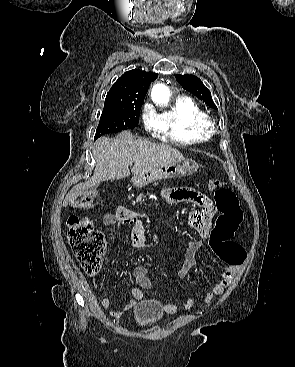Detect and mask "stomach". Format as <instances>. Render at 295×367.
Segmentation results:
<instances>
[{
    "label": "stomach",
    "mask_w": 295,
    "mask_h": 367,
    "mask_svg": "<svg viewBox=\"0 0 295 367\" xmlns=\"http://www.w3.org/2000/svg\"><path fill=\"white\" fill-rule=\"evenodd\" d=\"M197 169L198 164L196 162L179 160L160 166L147 173L134 176L132 182L135 186L142 187L159 179L187 177L194 174Z\"/></svg>",
    "instance_id": "0dacf381"
}]
</instances>
